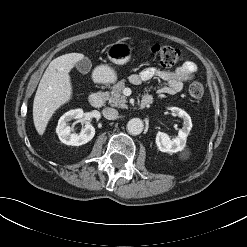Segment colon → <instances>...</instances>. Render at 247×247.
<instances>
[{"mask_svg":"<svg viewBox=\"0 0 247 247\" xmlns=\"http://www.w3.org/2000/svg\"><path fill=\"white\" fill-rule=\"evenodd\" d=\"M151 55L164 67L174 66L182 61L180 50L167 45H154L150 49ZM189 95L199 100L204 95V87L200 82H192L188 88Z\"/></svg>","mask_w":247,"mask_h":247,"instance_id":"obj_1","label":"colon"}]
</instances>
